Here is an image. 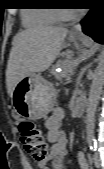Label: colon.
<instances>
[{"label": "colon", "mask_w": 104, "mask_h": 169, "mask_svg": "<svg viewBox=\"0 0 104 169\" xmlns=\"http://www.w3.org/2000/svg\"><path fill=\"white\" fill-rule=\"evenodd\" d=\"M18 130L24 150L33 160L44 161L48 156L49 146L43 138L42 130L30 121H22Z\"/></svg>", "instance_id": "1"}]
</instances>
